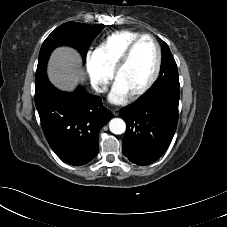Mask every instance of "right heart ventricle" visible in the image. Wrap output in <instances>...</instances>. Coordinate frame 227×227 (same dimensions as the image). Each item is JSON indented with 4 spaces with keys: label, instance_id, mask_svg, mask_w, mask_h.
<instances>
[{
    "label": "right heart ventricle",
    "instance_id": "right-heart-ventricle-1",
    "mask_svg": "<svg viewBox=\"0 0 227 227\" xmlns=\"http://www.w3.org/2000/svg\"><path fill=\"white\" fill-rule=\"evenodd\" d=\"M140 35L141 33L132 30L113 32L99 43L94 54L100 63L112 73L128 45Z\"/></svg>",
    "mask_w": 227,
    "mask_h": 227
}]
</instances>
